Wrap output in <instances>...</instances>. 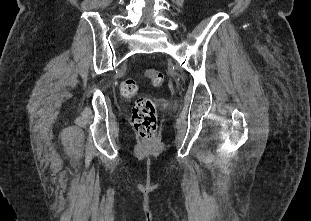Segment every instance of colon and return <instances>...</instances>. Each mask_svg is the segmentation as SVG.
Listing matches in <instances>:
<instances>
[{
  "mask_svg": "<svg viewBox=\"0 0 311 221\" xmlns=\"http://www.w3.org/2000/svg\"><path fill=\"white\" fill-rule=\"evenodd\" d=\"M151 84L155 87L165 83V76L161 71L148 70L146 72ZM138 82L135 77L125 78L120 86L121 93L126 98L133 97L138 91ZM132 122L136 132L143 141H156L157 117L154 101L147 97H138L133 105Z\"/></svg>",
  "mask_w": 311,
  "mask_h": 221,
  "instance_id": "1",
  "label": "colon"
}]
</instances>
